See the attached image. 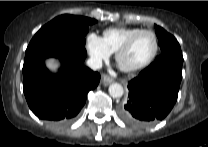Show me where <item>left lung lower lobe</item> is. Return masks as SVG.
<instances>
[{
	"label": "left lung lower lobe",
	"mask_w": 208,
	"mask_h": 147,
	"mask_svg": "<svg viewBox=\"0 0 208 147\" xmlns=\"http://www.w3.org/2000/svg\"><path fill=\"white\" fill-rule=\"evenodd\" d=\"M183 59L161 55L128 84L129 99L120 117L135 127L150 126L164 119L177 101Z\"/></svg>",
	"instance_id": "1"
}]
</instances>
